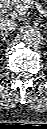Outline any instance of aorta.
<instances>
[{
  "mask_svg": "<svg viewBox=\"0 0 47 129\" xmlns=\"http://www.w3.org/2000/svg\"><path fill=\"white\" fill-rule=\"evenodd\" d=\"M25 44L29 46H37L42 43L43 35L40 29L36 27H28L22 33Z\"/></svg>",
  "mask_w": 47,
  "mask_h": 129,
  "instance_id": "obj_1",
  "label": "aorta"
}]
</instances>
